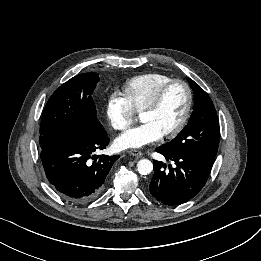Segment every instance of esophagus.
<instances>
[{"mask_svg": "<svg viewBox=\"0 0 261 261\" xmlns=\"http://www.w3.org/2000/svg\"><path fill=\"white\" fill-rule=\"evenodd\" d=\"M129 153L135 157H141L143 155V153L137 149H132L129 151Z\"/></svg>", "mask_w": 261, "mask_h": 261, "instance_id": "esophagus-1", "label": "esophagus"}]
</instances>
